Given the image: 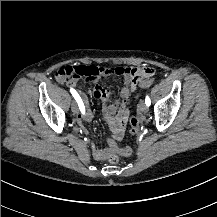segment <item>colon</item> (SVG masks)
<instances>
[{
  "mask_svg": "<svg viewBox=\"0 0 217 217\" xmlns=\"http://www.w3.org/2000/svg\"><path fill=\"white\" fill-rule=\"evenodd\" d=\"M153 69L146 66H128L119 65L113 67H87V66H63L57 70L55 75V80L59 84H64L66 82H71L80 78H85L87 81H92L99 78L103 74L113 73L116 75H130L135 78H139L142 74H149ZM154 82V77H148V79L138 82V87H150ZM130 130L132 133H137L139 131V123L136 118H131L130 120ZM103 141L108 146V148L114 152L119 151L124 156H131L132 150L124 148L118 144H113L108 136H103ZM109 162L112 165L117 164L120 158L117 155L108 156Z\"/></svg>",
  "mask_w": 217,
  "mask_h": 217,
  "instance_id": "1",
  "label": "colon"
}]
</instances>
